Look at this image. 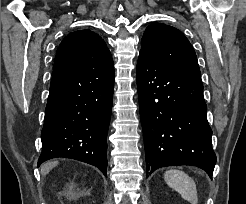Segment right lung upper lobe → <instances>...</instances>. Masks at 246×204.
<instances>
[{"mask_svg": "<svg viewBox=\"0 0 246 204\" xmlns=\"http://www.w3.org/2000/svg\"><path fill=\"white\" fill-rule=\"evenodd\" d=\"M113 66L112 56L103 39L90 30L67 35L58 47L53 75Z\"/></svg>", "mask_w": 246, "mask_h": 204, "instance_id": "right-lung-upper-lobe-1", "label": "right lung upper lobe"}]
</instances>
